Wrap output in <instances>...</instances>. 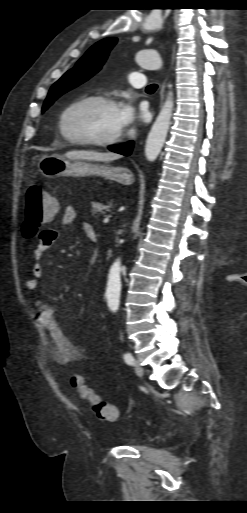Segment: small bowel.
I'll return each mask as SVG.
<instances>
[{"mask_svg": "<svg viewBox=\"0 0 247 513\" xmlns=\"http://www.w3.org/2000/svg\"><path fill=\"white\" fill-rule=\"evenodd\" d=\"M77 219V211L73 206H67L61 217L62 225H69ZM83 232L91 240L95 237L93 228L83 222L81 224ZM59 232L54 228H43L37 236V246L34 251L35 264L30 271V277L25 283L28 291H36L40 286V279L44 274V268L41 260L47 249H49L58 239ZM35 318L43 329L49 334V351L52 359L64 366H73L86 360L87 351L80 345L70 340L68 335L58 321L57 308L50 305L42 299L35 301Z\"/></svg>", "mask_w": 247, "mask_h": 513, "instance_id": "small-bowel-1", "label": "small bowel"}]
</instances>
